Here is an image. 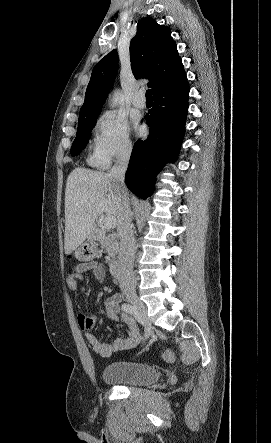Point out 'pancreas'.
Instances as JSON below:
<instances>
[{"instance_id":"obj_1","label":"pancreas","mask_w":271,"mask_h":443,"mask_svg":"<svg viewBox=\"0 0 271 443\" xmlns=\"http://www.w3.org/2000/svg\"><path fill=\"white\" fill-rule=\"evenodd\" d=\"M101 247L106 249L107 253H109L110 257H115L117 253L118 241H116L113 233H103V235H99L98 237Z\"/></svg>"}]
</instances>
